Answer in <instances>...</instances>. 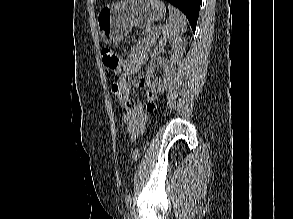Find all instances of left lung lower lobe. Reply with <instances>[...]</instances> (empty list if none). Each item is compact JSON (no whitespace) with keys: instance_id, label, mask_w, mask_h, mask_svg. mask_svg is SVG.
<instances>
[{"instance_id":"1","label":"left lung lower lobe","mask_w":293,"mask_h":219,"mask_svg":"<svg viewBox=\"0 0 293 219\" xmlns=\"http://www.w3.org/2000/svg\"><path fill=\"white\" fill-rule=\"evenodd\" d=\"M169 3L180 9L188 18L192 30L195 31L201 0H167Z\"/></svg>"}]
</instances>
